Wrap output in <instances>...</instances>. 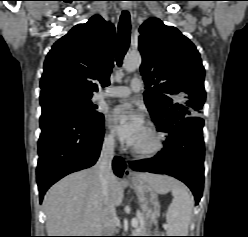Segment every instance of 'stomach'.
<instances>
[{
	"mask_svg": "<svg viewBox=\"0 0 248 237\" xmlns=\"http://www.w3.org/2000/svg\"><path fill=\"white\" fill-rule=\"evenodd\" d=\"M172 185L173 184L169 183L166 184L163 187V191L159 192L152 185L143 180L137 179L133 182L134 190L146 223L152 224L158 218L160 215L158 194L167 193L171 190Z\"/></svg>",
	"mask_w": 248,
	"mask_h": 237,
	"instance_id": "1",
	"label": "stomach"
}]
</instances>
